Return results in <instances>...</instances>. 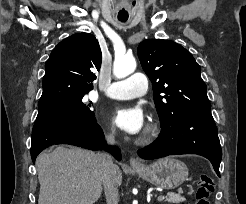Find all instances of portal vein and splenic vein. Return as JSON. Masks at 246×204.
<instances>
[{
	"mask_svg": "<svg viewBox=\"0 0 246 204\" xmlns=\"http://www.w3.org/2000/svg\"><path fill=\"white\" fill-rule=\"evenodd\" d=\"M164 196H159L157 199H158V201H162V200H164Z\"/></svg>",
	"mask_w": 246,
	"mask_h": 204,
	"instance_id": "obj_1",
	"label": "portal vein and splenic vein"
}]
</instances>
